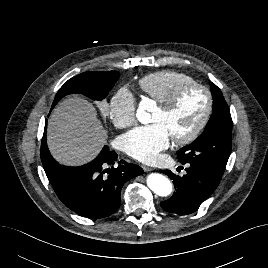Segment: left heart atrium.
Instances as JSON below:
<instances>
[{"label":"left heart atrium","instance_id":"39dd6f15","mask_svg":"<svg viewBox=\"0 0 268 268\" xmlns=\"http://www.w3.org/2000/svg\"><path fill=\"white\" fill-rule=\"evenodd\" d=\"M169 142L170 135L160 123L135 127L122 137L125 153L144 163L154 162Z\"/></svg>","mask_w":268,"mask_h":268}]
</instances>
